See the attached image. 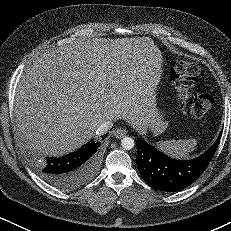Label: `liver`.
<instances>
[{
  "mask_svg": "<svg viewBox=\"0 0 231 231\" xmlns=\"http://www.w3.org/2000/svg\"><path fill=\"white\" fill-rule=\"evenodd\" d=\"M161 63L148 37L80 39L45 53L18 82V130L55 157L91 140L103 121L123 119L145 133L157 113Z\"/></svg>",
  "mask_w": 231,
  "mask_h": 231,
  "instance_id": "liver-1",
  "label": "liver"
}]
</instances>
